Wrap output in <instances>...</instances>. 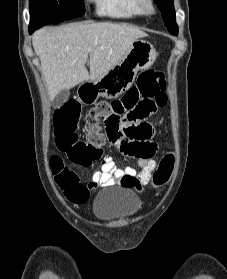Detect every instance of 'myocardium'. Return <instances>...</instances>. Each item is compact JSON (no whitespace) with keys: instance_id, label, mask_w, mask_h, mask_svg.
Instances as JSON below:
<instances>
[{"instance_id":"1","label":"myocardium","mask_w":227,"mask_h":279,"mask_svg":"<svg viewBox=\"0 0 227 279\" xmlns=\"http://www.w3.org/2000/svg\"><path fill=\"white\" fill-rule=\"evenodd\" d=\"M140 12L144 15L152 16L155 14L153 0H138Z\"/></svg>"}]
</instances>
